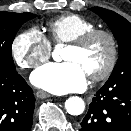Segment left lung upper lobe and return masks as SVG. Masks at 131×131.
<instances>
[{"instance_id": "5c2ea615", "label": "left lung upper lobe", "mask_w": 131, "mask_h": 131, "mask_svg": "<svg viewBox=\"0 0 131 131\" xmlns=\"http://www.w3.org/2000/svg\"><path fill=\"white\" fill-rule=\"evenodd\" d=\"M111 29L119 46V58L106 84H131V23L119 14L100 7L90 8Z\"/></svg>"}]
</instances>
